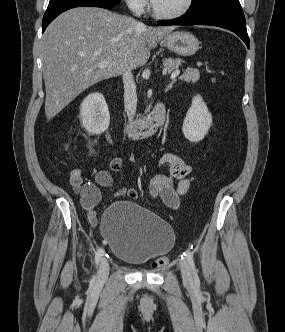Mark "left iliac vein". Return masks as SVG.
Instances as JSON below:
<instances>
[{"instance_id": "obj_1", "label": "left iliac vein", "mask_w": 285, "mask_h": 332, "mask_svg": "<svg viewBox=\"0 0 285 332\" xmlns=\"http://www.w3.org/2000/svg\"><path fill=\"white\" fill-rule=\"evenodd\" d=\"M182 278L185 284L192 285L193 284V275L186 259H182L179 262Z\"/></svg>"}]
</instances>
